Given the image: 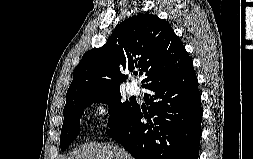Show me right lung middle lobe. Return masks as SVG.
<instances>
[{"instance_id":"obj_1","label":"right lung middle lobe","mask_w":253,"mask_h":159,"mask_svg":"<svg viewBox=\"0 0 253 159\" xmlns=\"http://www.w3.org/2000/svg\"><path fill=\"white\" fill-rule=\"evenodd\" d=\"M106 103L109 106V124L113 129L126 121L127 116L135 107L134 101H121L119 90L102 92L72 100L65 105L64 122L61 130L60 147L64 151L77 137L80 131V118L84 109L93 103Z\"/></svg>"}]
</instances>
